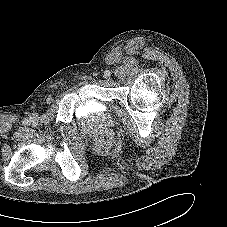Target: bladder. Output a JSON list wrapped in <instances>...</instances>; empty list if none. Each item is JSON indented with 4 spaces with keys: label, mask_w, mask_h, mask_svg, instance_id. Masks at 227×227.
Listing matches in <instances>:
<instances>
[{
    "label": "bladder",
    "mask_w": 227,
    "mask_h": 227,
    "mask_svg": "<svg viewBox=\"0 0 227 227\" xmlns=\"http://www.w3.org/2000/svg\"><path fill=\"white\" fill-rule=\"evenodd\" d=\"M86 107L89 111L95 113H101L103 111L102 107L98 103H95L94 101H89L86 104Z\"/></svg>",
    "instance_id": "31cf9c89"
}]
</instances>
